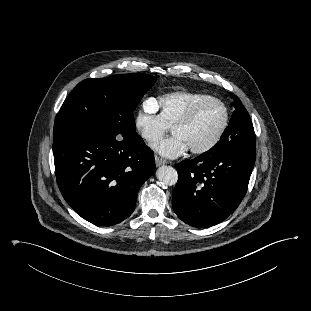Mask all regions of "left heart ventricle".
<instances>
[{
	"mask_svg": "<svg viewBox=\"0 0 311 311\" xmlns=\"http://www.w3.org/2000/svg\"><path fill=\"white\" fill-rule=\"evenodd\" d=\"M223 117V107L217 102H208L197 111L187 125L175 128L172 133L182 137L189 149L199 148L213 139L222 124Z\"/></svg>",
	"mask_w": 311,
	"mask_h": 311,
	"instance_id": "obj_1",
	"label": "left heart ventricle"
}]
</instances>
